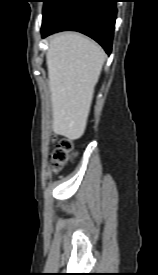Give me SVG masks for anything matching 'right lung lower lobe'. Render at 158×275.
Listing matches in <instances>:
<instances>
[{"instance_id":"98d812e1","label":"right lung lower lobe","mask_w":158,"mask_h":275,"mask_svg":"<svg viewBox=\"0 0 158 275\" xmlns=\"http://www.w3.org/2000/svg\"><path fill=\"white\" fill-rule=\"evenodd\" d=\"M116 0H59L43 17L41 33L73 30L88 35L111 52L116 20Z\"/></svg>"}]
</instances>
